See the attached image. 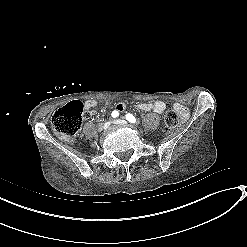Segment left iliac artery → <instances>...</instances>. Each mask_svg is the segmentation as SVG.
<instances>
[{"label":"left iliac artery","instance_id":"1","mask_svg":"<svg viewBox=\"0 0 247 247\" xmlns=\"http://www.w3.org/2000/svg\"><path fill=\"white\" fill-rule=\"evenodd\" d=\"M125 118H126L129 122H131V123H135V122H136V118H135L132 114H130V113L126 114Z\"/></svg>","mask_w":247,"mask_h":247}]
</instances>
